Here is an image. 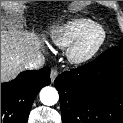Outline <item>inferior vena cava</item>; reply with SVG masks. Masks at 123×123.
Segmentation results:
<instances>
[{
	"label": "inferior vena cava",
	"mask_w": 123,
	"mask_h": 123,
	"mask_svg": "<svg viewBox=\"0 0 123 123\" xmlns=\"http://www.w3.org/2000/svg\"><path fill=\"white\" fill-rule=\"evenodd\" d=\"M45 58L43 55L39 54L34 59L24 64L25 69L38 70L44 65Z\"/></svg>",
	"instance_id": "1"
}]
</instances>
